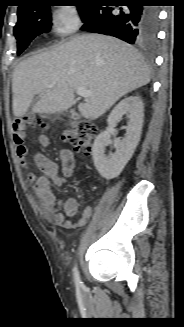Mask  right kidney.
<instances>
[{"instance_id": "ca27d5eb", "label": "right kidney", "mask_w": 184, "mask_h": 327, "mask_svg": "<svg viewBox=\"0 0 184 327\" xmlns=\"http://www.w3.org/2000/svg\"><path fill=\"white\" fill-rule=\"evenodd\" d=\"M144 106L139 96H129L120 101L108 116L109 130L101 132L95 139L92 155L96 169L105 179L117 177L131 159L141 137ZM128 118L125 137L114 142L116 152L106 155L105 147L110 143V132L122 119Z\"/></svg>"}]
</instances>
